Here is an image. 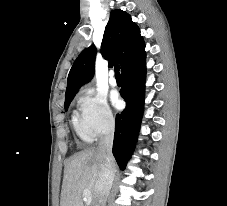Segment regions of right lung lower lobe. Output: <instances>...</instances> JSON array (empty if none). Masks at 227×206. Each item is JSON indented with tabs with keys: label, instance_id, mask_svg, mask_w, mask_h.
I'll use <instances>...</instances> for the list:
<instances>
[{
	"label": "right lung lower lobe",
	"instance_id": "98d812e1",
	"mask_svg": "<svg viewBox=\"0 0 227 206\" xmlns=\"http://www.w3.org/2000/svg\"><path fill=\"white\" fill-rule=\"evenodd\" d=\"M121 95L126 108L116 115L113 155L124 170L134 149L144 109L145 58L127 68L123 73Z\"/></svg>",
	"mask_w": 227,
	"mask_h": 206
}]
</instances>
